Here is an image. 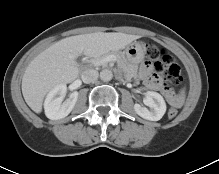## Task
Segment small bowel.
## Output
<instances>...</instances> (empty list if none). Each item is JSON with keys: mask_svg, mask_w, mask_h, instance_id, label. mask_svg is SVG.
Segmentation results:
<instances>
[{"mask_svg": "<svg viewBox=\"0 0 219 174\" xmlns=\"http://www.w3.org/2000/svg\"><path fill=\"white\" fill-rule=\"evenodd\" d=\"M140 76L144 80L146 86L152 90L162 91L167 102L174 107H180L184 102V94L175 92L165 87L163 82L153 73L149 63H144L140 68Z\"/></svg>", "mask_w": 219, "mask_h": 174, "instance_id": "small-bowel-1", "label": "small bowel"}]
</instances>
